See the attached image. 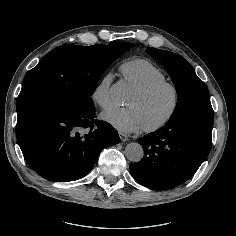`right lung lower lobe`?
I'll list each match as a JSON object with an SVG mask.
<instances>
[{
    "label": "right lung lower lobe",
    "instance_id": "1",
    "mask_svg": "<svg viewBox=\"0 0 236 236\" xmlns=\"http://www.w3.org/2000/svg\"><path fill=\"white\" fill-rule=\"evenodd\" d=\"M95 117V107H47L17 120L16 136L27 163L50 181L83 178L103 148L120 142L116 129Z\"/></svg>",
    "mask_w": 236,
    "mask_h": 236
}]
</instances>
